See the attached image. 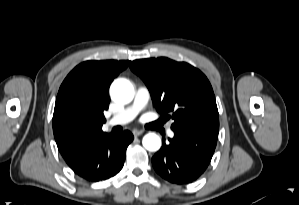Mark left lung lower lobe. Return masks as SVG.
Listing matches in <instances>:
<instances>
[{"instance_id":"left-lung-lower-lobe-1","label":"left lung lower lobe","mask_w":299,"mask_h":205,"mask_svg":"<svg viewBox=\"0 0 299 205\" xmlns=\"http://www.w3.org/2000/svg\"><path fill=\"white\" fill-rule=\"evenodd\" d=\"M169 139L152 158L155 171L165 180L187 184L200 177L213 156L219 128L173 130Z\"/></svg>"}]
</instances>
